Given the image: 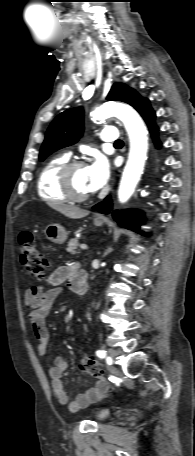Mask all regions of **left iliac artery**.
Listing matches in <instances>:
<instances>
[{"instance_id": "44dca946", "label": "left iliac artery", "mask_w": 195, "mask_h": 456, "mask_svg": "<svg viewBox=\"0 0 195 456\" xmlns=\"http://www.w3.org/2000/svg\"><path fill=\"white\" fill-rule=\"evenodd\" d=\"M96 355L99 357V358H106L107 357V353L106 351L104 350H98L96 351ZM109 359V358H108Z\"/></svg>"}]
</instances>
